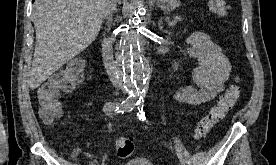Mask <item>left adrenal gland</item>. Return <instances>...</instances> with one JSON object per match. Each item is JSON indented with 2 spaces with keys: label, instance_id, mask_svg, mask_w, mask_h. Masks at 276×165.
Wrapping results in <instances>:
<instances>
[{
  "label": "left adrenal gland",
  "instance_id": "1",
  "mask_svg": "<svg viewBox=\"0 0 276 165\" xmlns=\"http://www.w3.org/2000/svg\"><path fill=\"white\" fill-rule=\"evenodd\" d=\"M161 24H162V18H161V20L159 22V29L162 30L165 33L171 34V31H169V30H163V26H161Z\"/></svg>",
  "mask_w": 276,
  "mask_h": 165
}]
</instances>
